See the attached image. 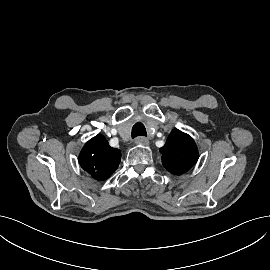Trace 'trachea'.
<instances>
[{
    "label": "trachea",
    "instance_id": "3493384b",
    "mask_svg": "<svg viewBox=\"0 0 270 270\" xmlns=\"http://www.w3.org/2000/svg\"><path fill=\"white\" fill-rule=\"evenodd\" d=\"M146 129L145 126L141 122H137L132 127V138H135L137 136H146Z\"/></svg>",
    "mask_w": 270,
    "mask_h": 270
}]
</instances>
